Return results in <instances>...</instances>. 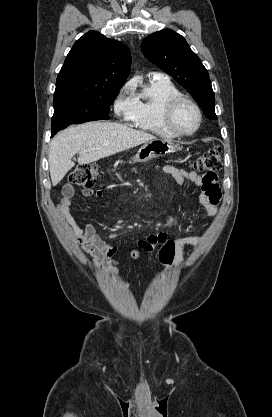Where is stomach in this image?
I'll use <instances>...</instances> for the list:
<instances>
[{
	"label": "stomach",
	"mask_w": 272,
	"mask_h": 417,
	"mask_svg": "<svg viewBox=\"0 0 272 417\" xmlns=\"http://www.w3.org/2000/svg\"><path fill=\"white\" fill-rule=\"evenodd\" d=\"M178 146L162 139H153L145 142L132 158L133 162H147L166 154L173 153Z\"/></svg>",
	"instance_id": "stomach-1"
}]
</instances>
